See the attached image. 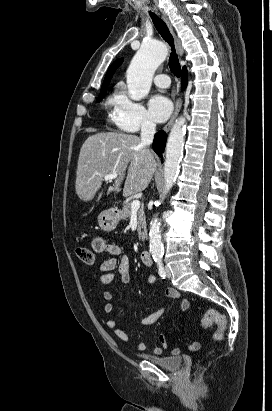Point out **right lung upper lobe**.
<instances>
[{
	"instance_id": "obj_1",
	"label": "right lung upper lobe",
	"mask_w": 272,
	"mask_h": 411,
	"mask_svg": "<svg viewBox=\"0 0 272 411\" xmlns=\"http://www.w3.org/2000/svg\"><path fill=\"white\" fill-rule=\"evenodd\" d=\"M123 59H117L116 61H114L112 63V65L110 66V68L108 69L104 82H103V87L101 90H103L104 88H106L110 82V79L113 77V74L115 73L116 69L122 64Z\"/></svg>"
}]
</instances>
